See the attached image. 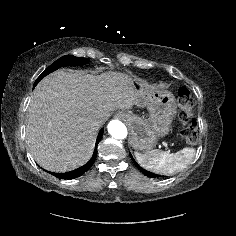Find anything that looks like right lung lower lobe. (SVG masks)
I'll return each instance as SVG.
<instances>
[{"label":"right lung lower lobe","instance_id":"98d812e1","mask_svg":"<svg viewBox=\"0 0 236 236\" xmlns=\"http://www.w3.org/2000/svg\"><path fill=\"white\" fill-rule=\"evenodd\" d=\"M102 134H103V131H101V133L99 134V136L97 138L95 151H94L92 158L85 165H83L82 167H80L78 169H75L73 171L66 172V173H53V172H50V173L59 179H73V178H77V177L83 175L86 171L89 170V168L91 167V165L93 164V162L97 156V145L102 138Z\"/></svg>","mask_w":236,"mask_h":236}]
</instances>
